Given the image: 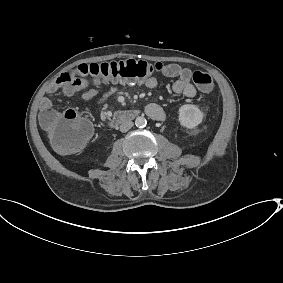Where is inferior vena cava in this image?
Segmentation results:
<instances>
[{
    "instance_id": "inferior-vena-cava-1",
    "label": "inferior vena cava",
    "mask_w": 283,
    "mask_h": 283,
    "mask_svg": "<svg viewBox=\"0 0 283 283\" xmlns=\"http://www.w3.org/2000/svg\"><path fill=\"white\" fill-rule=\"evenodd\" d=\"M133 126H134V124H133L132 121L126 120V121H124V122L120 125V131H121V132H127V131L130 130Z\"/></svg>"
}]
</instances>
